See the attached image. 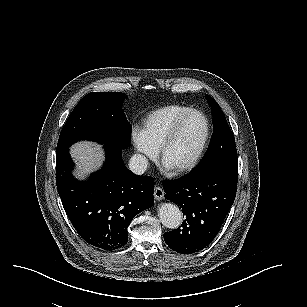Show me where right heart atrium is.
<instances>
[{
    "instance_id": "right-heart-atrium-1",
    "label": "right heart atrium",
    "mask_w": 307,
    "mask_h": 307,
    "mask_svg": "<svg viewBox=\"0 0 307 307\" xmlns=\"http://www.w3.org/2000/svg\"><path fill=\"white\" fill-rule=\"evenodd\" d=\"M138 154L141 157L148 158L154 154L155 148L152 144L151 137L148 134L142 133L135 140Z\"/></svg>"
}]
</instances>
